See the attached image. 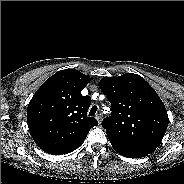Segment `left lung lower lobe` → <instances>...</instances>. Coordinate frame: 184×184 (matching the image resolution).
<instances>
[{
    "label": "left lung lower lobe",
    "instance_id": "0a47b994",
    "mask_svg": "<svg viewBox=\"0 0 184 184\" xmlns=\"http://www.w3.org/2000/svg\"><path fill=\"white\" fill-rule=\"evenodd\" d=\"M110 140V139H109ZM110 143L112 144V147L121 155L129 158H140L147 156L148 154L137 150L135 148L129 147L125 144L110 140Z\"/></svg>",
    "mask_w": 184,
    "mask_h": 184
}]
</instances>
